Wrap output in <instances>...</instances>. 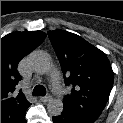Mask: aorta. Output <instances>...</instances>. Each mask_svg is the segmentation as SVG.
I'll use <instances>...</instances> for the list:
<instances>
[{"mask_svg":"<svg viewBox=\"0 0 123 123\" xmlns=\"http://www.w3.org/2000/svg\"><path fill=\"white\" fill-rule=\"evenodd\" d=\"M29 62L31 67L40 74L47 73L51 68V62L47 53L34 51L30 54ZM47 110L52 116H59L63 112V102L61 99H51L47 104Z\"/></svg>","mask_w":123,"mask_h":123,"instance_id":"762f6f07","label":"aorta"}]
</instances>
